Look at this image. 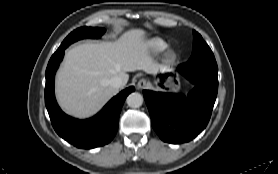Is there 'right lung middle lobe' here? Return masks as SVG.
Instances as JSON below:
<instances>
[{
	"label": "right lung middle lobe",
	"mask_w": 278,
	"mask_h": 174,
	"mask_svg": "<svg viewBox=\"0 0 278 174\" xmlns=\"http://www.w3.org/2000/svg\"><path fill=\"white\" fill-rule=\"evenodd\" d=\"M105 32V29L103 28H92V27H81L73 32H71L65 40L62 42L60 47L67 48L71 43L83 39V38H99L101 35H103Z\"/></svg>",
	"instance_id": "dd1d6c3e"
}]
</instances>
